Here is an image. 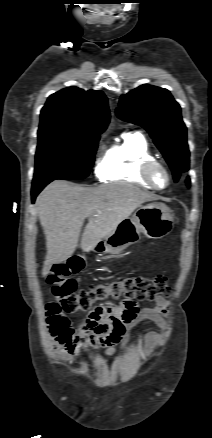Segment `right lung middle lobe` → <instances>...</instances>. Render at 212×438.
<instances>
[{"label":"right lung middle lobe","mask_w":212,"mask_h":438,"mask_svg":"<svg viewBox=\"0 0 212 438\" xmlns=\"http://www.w3.org/2000/svg\"><path fill=\"white\" fill-rule=\"evenodd\" d=\"M99 138V134L38 133L33 181L87 177L94 163Z\"/></svg>","instance_id":"right-lung-middle-lobe-1"}]
</instances>
